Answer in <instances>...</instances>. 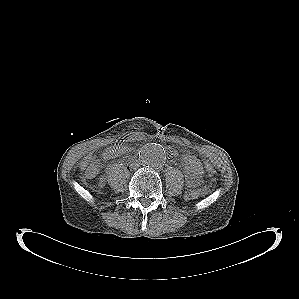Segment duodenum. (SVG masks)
Listing matches in <instances>:
<instances>
[{"mask_svg":"<svg viewBox=\"0 0 299 299\" xmlns=\"http://www.w3.org/2000/svg\"><path fill=\"white\" fill-rule=\"evenodd\" d=\"M135 160V158H132V161H134Z\"/></svg>","mask_w":299,"mask_h":299,"instance_id":"obj_1","label":"duodenum"}]
</instances>
